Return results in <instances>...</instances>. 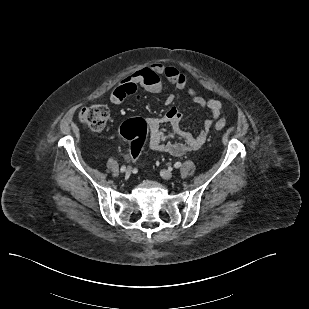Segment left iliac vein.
Segmentation results:
<instances>
[{
  "label": "left iliac vein",
  "mask_w": 309,
  "mask_h": 309,
  "mask_svg": "<svg viewBox=\"0 0 309 309\" xmlns=\"http://www.w3.org/2000/svg\"><path fill=\"white\" fill-rule=\"evenodd\" d=\"M160 175L163 179L170 180L173 177V174L169 170H161Z\"/></svg>",
  "instance_id": "left-iliac-vein-1"
}]
</instances>
